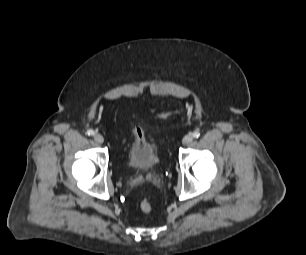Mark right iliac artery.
I'll return each mask as SVG.
<instances>
[{
    "mask_svg": "<svg viewBox=\"0 0 306 255\" xmlns=\"http://www.w3.org/2000/svg\"><path fill=\"white\" fill-rule=\"evenodd\" d=\"M87 134L92 136V135L95 134V132L92 129H90V130L87 131Z\"/></svg>",
    "mask_w": 306,
    "mask_h": 255,
    "instance_id": "1",
    "label": "right iliac artery"
}]
</instances>
